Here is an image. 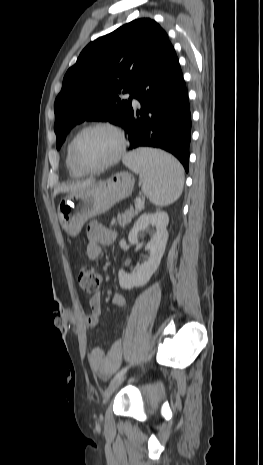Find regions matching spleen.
<instances>
[{"mask_svg": "<svg viewBox=\"0 0 263 465\" xmlns=\"http://www.w3.org/2000/svg\"><path fill=\"white\" fill-rule=\"evenodd\" d=\"M124 164L138 173L142 191L157 206L175 202L184 186V170L172 155L151 148H140L123 159Z\"/></svg>", "mask_w": 263, "mask_h": 465, "instance_id": "obj_1", "label": "spleen"}]
</instances>
